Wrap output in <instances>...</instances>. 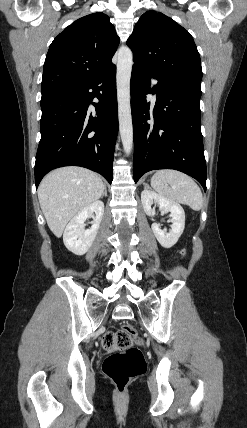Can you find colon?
Instances as JSON below:
<instances>
[{"label": "colon", "mask_w": 247, "mask_h": 428, "mask_svg": "<svg viewBox=\"0 0 247 428\" xmlns=\"http://www.w3.org/2000/svg\"><path fill=\"white\" fill-rule=\"evenodd\" d=\"M186 251H181L185 256ZM142 340L131 324L124 325L116 332H107L102 337V347L111 353L103 363L105 375L116 385L119 392L145 371V361L141 350Z\"/></svg>", "instance_id": "colon-1"}]
</instances>
